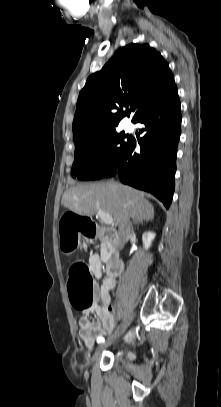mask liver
<instances>
[{"label":"liver","instance_id":"obj_1","mask_svg":"<svg viewBox=\"0 0 221 407\" xmlns=\"http://www.w3.org/2000/svg\"><path fill=\"white\" fill-rule=\"evenodd\" d=\"M62 205L87 217H92L101 209L112 216L115 225H119L125 215L142 222L154 217V207L144 198L142 192L116 182L83 184L70 188L62 196Z\"/></svg>","mask_w":221,"mask_h":407}]
</instances>
